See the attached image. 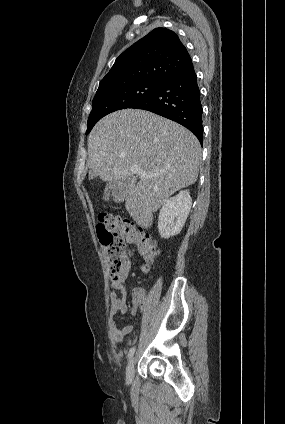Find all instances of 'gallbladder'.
<instances>
[{"label":"gallbladder","instance_id":"gallbladder-1","mask_svg":"<svg viewBox=\"0 0 285 424\" xmlns=\"http://www.w3.org/2000/svg\"><path fill=\"white\" fill-rule=\"evenodd\" d=\"M130 183L131 181L128 180H114L110 182L104 190L103 199L109 201L118 191L127 189Z\"/></svg>","mask_w":285,"mask_h":424}]
</instances>
